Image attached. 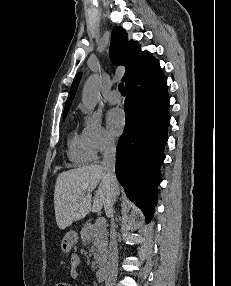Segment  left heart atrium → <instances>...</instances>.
Returning <instances> with one entry per match:
<instances>
[{"mask_svg":"<svg viewBox=\"0 0 231 286\" xmlns=\"http://www.w3.org/2000/svg\"><path fill=\"white\" fill-rule=\"evenodd\" d=\"M126 124L125 114L121 109H111L107 114V125L110 131L118 135L120 134Z\"/></svg>","mask_w":231,"mask_h":286,"instance_id":"left-heart-atrium-1","label":"left heart atrium"}]
</instances>
